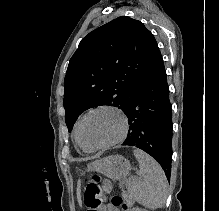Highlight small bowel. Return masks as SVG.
Returning <instances> with one entry per match:
<instances>
[{"label":"small bowel","mask_w":219,"mask_h":211,"mask_svg":"<svg viewBox=\"0 0 219 211\" xmlns=\"http://www.w3.org/2000/svg\"><path fill=\"white\" fill-rule=\"evenodd\" d=\"M84 199L88 211H117L106 204L105 197L98 190L87 189Z\"/></svg>","instance_id":"c3829d8e"}]
</instances>
